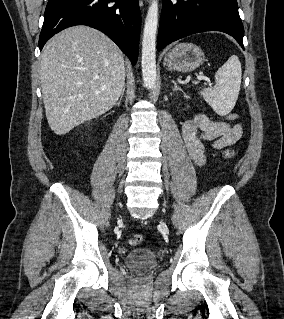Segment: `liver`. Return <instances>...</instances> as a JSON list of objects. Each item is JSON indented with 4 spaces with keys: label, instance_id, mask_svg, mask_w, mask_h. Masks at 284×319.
<instances>
[{
    "label": "liver",
    "instance_id": "obj_1",
    "mask_svg": "<svg viewBox=\"0 0 284 319\" xmlns=\"http://www.w3.org/2000/svg\"><path fill=\"white\" fill-rule=\"evenodd\" d=\"M40 79L48 124L63 135L116 104L125 86L123 53L96 29L70 27L44 46Z\"/></svg>",
    "mask_w": 284,
    "mask_h": 319
}]
</instances>
